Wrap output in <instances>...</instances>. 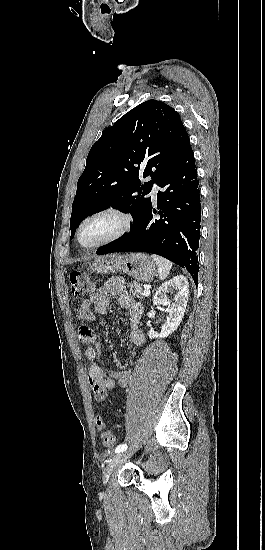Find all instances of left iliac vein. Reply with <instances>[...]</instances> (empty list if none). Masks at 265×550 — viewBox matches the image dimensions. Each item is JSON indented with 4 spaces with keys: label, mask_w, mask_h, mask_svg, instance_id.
I'll list each match as a JSON object with an SVG mask.
<instances>
[{
    "label": "left iliac vein",
    "mask_w": 265,
    "mask_h": 550,
    "mask_svg": "<svg viewBox=\"0 0 265 550\" xmlns=\"http://www.w3.org/2000/svg\"><path fill=\"white\" fill-rule=\"evenodd\" d=\"M129 454L130 452L122 451L114 455V457L108 463L107 467L103 472V479L105 482L108 481L112 472L123 463V461L129 456Z\"/></svg>",
    "instance_id": "obj_1"
}]
</instances>
